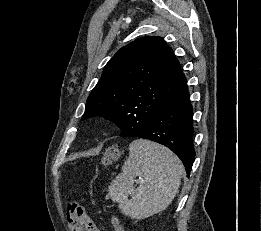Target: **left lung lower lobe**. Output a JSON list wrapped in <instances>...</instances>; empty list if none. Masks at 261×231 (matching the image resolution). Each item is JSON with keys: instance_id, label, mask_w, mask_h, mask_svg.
Masks as SVG:
<instances>
[{"instance_id": "left-lung-lower-lobe-1", "label": "left lung lower lobe", "mask_w": 261, "mask_h": 231, "mask_svg": "<svg viewBox=\"0 0 261 231\" xmlns=\"http://www.w3.org/2000/svg\"><path fill=\"white\" fill-rule=\"evenodd\" d=\"M193 109L187 87L158 110L142 130L122 131L120 136L139 137L160 143L183 162L189 176L194 159Z\"/></svg>"}]
</instances>
